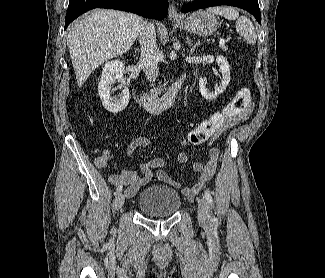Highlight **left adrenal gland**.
<instances>
[{"mask_svg": "<svg viewBox=\"0 0 325 278\" xmlns=\"http://www.w3.org/2000/svg\"><path fill=\"white\" fill-rule=\"evenodd\" d=\"M188 45H191V41H190L189 39H188ZM198 45H199V42H196V43L192 46V48H191V50H190V54H191V55H193V53H194L196 47H198Z\"/></svg>", "mask_w": 325, "mask_h": 278, "instance_id": "1", "label": "left adrenal gland"}]
</instances>
